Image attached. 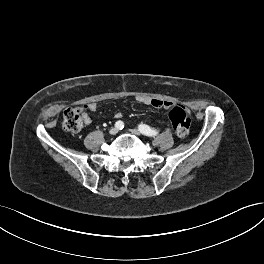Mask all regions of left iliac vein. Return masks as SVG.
<instances>
[{
	"mask_svg": "<svg viewBox=\"0 0 264 264\" xmlns=\"http://www.w3.org/2000/svg\"><path fill=\"white\" fill-rule=\"evenodd\" d=\"M132 133H133L134 135H137V136H140V135H141V131L138 130V129H133V130H132Z\"/></svg>",
	"mask_w": 264,
	"mask_h": 264,
	"instance_id": "1",
	"label": "left iliac vein"
}]
</instances>
